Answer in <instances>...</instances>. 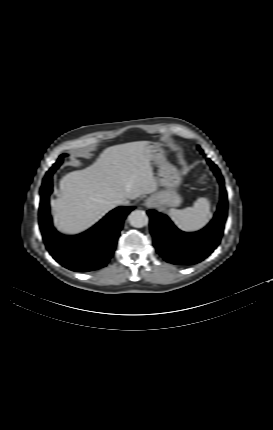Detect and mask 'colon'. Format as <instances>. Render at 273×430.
<instances>
[{"instance_id": "1", "label": "colon", "mask_w": 273, "mask_h": 430, "mask_svg": "<svg viewBox=\"0 0 273 430\" xmlns=\"http://www.w3.org/2000/svg\"><path fill=\"white\" fill-rule=\"evenodd\" d=\"M198 181H199L201 184H203V183H205V181H206V177H205V176H201V177L198 179Z\"/></svg>"}]
</instances>
